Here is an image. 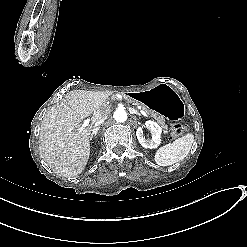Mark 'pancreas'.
Returning a JSON list of instances; mask_svg holds the SVG:
<instances>
[{
    "instance_id": "obj_1",
    "label": "pancreas",
    "mask_w": 247,
    "mask_h": 247,
    "mask_svg": "<svg viewBox=\"0 0 247 247\" xmlns=\"http://www.w3.org/2000/svg\"><path fill=\"white\" fill-rule=\"evenodd\" d=\"M117 99L127 100L128 104H133V107H138V102H133V98H128V96H125L124 94H118ZM140 109H143L146 113L154 117V119L158 121V123L164 129V132L165 133L167 132L168 130L167 122L162 118L159 112L152 110L148 105L145 104H140Z\"/></svg>"
}]
</instances>
